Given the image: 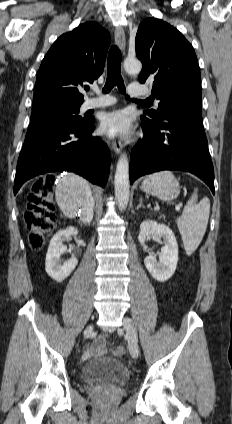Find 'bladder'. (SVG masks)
<instances>
[{"instance_id":"bladder-1","label":"bladder","mask_w":232,"mask_h":424,"mask_svg":"<svg viewBox=\"0 0 232 424\" xmlns=\"http://www.w3.org/2000/svg\"><path fill=\"white\" fill-rule=\"evenodd\" d=\"M80 379L83 382L101 380L126 384L130 381V373L120 360L94 358L83 365Z\"/></svg>"}]
</instances>
